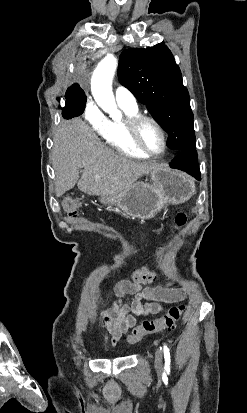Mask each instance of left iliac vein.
Here are the masks:
<instances>
[{
	"label": "left iliac vein",
	"mask_w": 247,
	"mask_h": 413,
	"mask_svg": "<svg viewBox=\"0 0 247 413\" xmlns=\"http://www.w3.org/2000/svg\"><path fill=\"white\" fill-rule=\"evenodd\" d=\"M154 364H155V368L156 371L161 374L163 371V354L162 351L158 348L156 349V353H155V358H154Z\"/></svg>",
	"instance_id": "left-iliac-vein-1"
}]
</instances>
